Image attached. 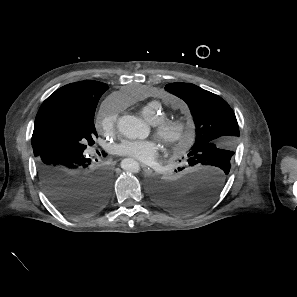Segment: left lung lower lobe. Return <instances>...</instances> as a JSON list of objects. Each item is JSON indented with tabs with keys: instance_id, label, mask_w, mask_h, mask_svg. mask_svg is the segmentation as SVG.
Here are the masks:
<instances>
[{
	"instance_id": "obj_1",
	"label": "left lung lower lobe",
	"mask_w": 297,
	"mask_h": 297,
	"mask_svg": "<svg viewBox=\"0 0 297 297\" xmlns=\"http://www.w3.org/2000/svg\"><path fill=\"white\" fill-rule=\"evenodd\" d=\"M170 182H152L150 192L161 207L177 213H194L206 207L222 190L229 170L219 163L205 161L194 165ZM179 170V168H178Z\"/></svg>"
}]
</instances>
